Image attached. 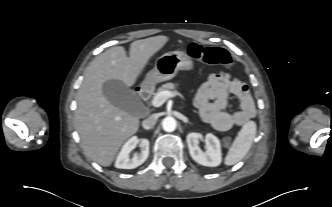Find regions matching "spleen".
Returning <instances> with one entry per match:
<instances>
[{
	"mask_svg": "<svg viewBox=\"0 0 332 207\" xmlns=\"http://www.w3.org/2000/svg\"><path fill=\"white\" fill-rule=\"evenodd\" d=\"M256 136V123L248 121L243 125L234 142L232 143L226 157L225 164L230 166L241 161L251 148Z\"/></svg>",
	"mask_w": 332,
	"mask_h": 207,
	"instance_id": "1",
	"label": "spleen"
}]
</instances>
